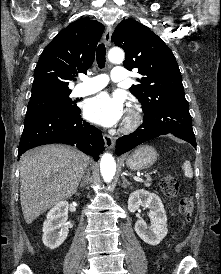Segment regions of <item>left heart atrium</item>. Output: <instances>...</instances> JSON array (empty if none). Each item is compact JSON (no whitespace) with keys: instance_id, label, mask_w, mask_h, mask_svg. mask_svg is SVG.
<instances>
[{"instance_id":"1","label":"left heart atrium","mask_w":221,"mask_h":274,"mask_svg":"<svg viewBox=\"0 0 221 274\" xmlns=\"http://www.w3.org/2000/svg\"><path fill=\"white\" fill-rule=\"evenodd\" d=\"M83 113L89 121L111 127L124 115V100L120 95L102 92L86 100Z\"/></svg>"}]
</instances>
